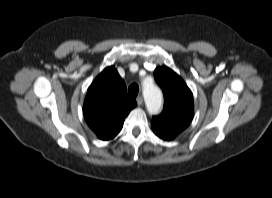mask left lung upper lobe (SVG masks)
Masks as SVG:
<instances>
[{"label":"left lung upper lobe","mask_w":272,"mask_h":198,"mask_svg":"<svg viewBox=\"0 0 272 198\" xmlns=\"http://www.w3.org/2000/svg\"><path fill=\"white\" fill-rule=\"evenodd\" d=\"M154 77L164 93V108L151 121L153 130L176 137L194 115L193 95L180 76L166 66L157 67Z\"/></svg>","instance_id":"obj_1"}]
</instances>
